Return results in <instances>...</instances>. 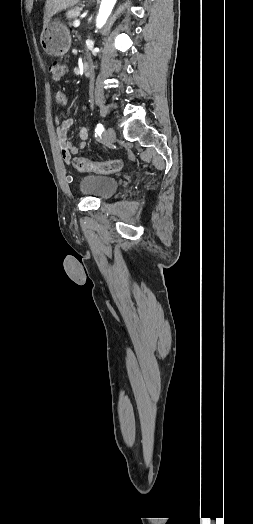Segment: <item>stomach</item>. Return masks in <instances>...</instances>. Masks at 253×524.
<instances>
[{"instance_id": "stomach-1", "label": "stomach", "mask_w": 253, "mask_h": 524, "mask_svg": "<svg viewBox=\"0 0 253 524\" xmlns=\"http://www.w3.org/2000/svg\"><path fill=\"white\" fill-rule=\"evenodd\" d=\"M40 43L47 54L55 57L63 56L71 45L70 32L60 21H52L43 29Z\"/></svg>"}]
</instances>
